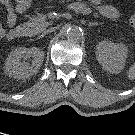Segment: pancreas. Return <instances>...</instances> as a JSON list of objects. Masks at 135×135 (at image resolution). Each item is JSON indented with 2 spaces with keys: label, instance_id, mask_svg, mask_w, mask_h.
<instances>
[{
  "label": "pancreas",
  "instance_id": "cf45deb5",
  "mask_svg": "<svg viewBox=\"0 0 135 135\" xmlns=\"http://www.w3.org/2000/svg\"><path fill=\"white\" fill-rule=\"evenodd\" d=\"M46 26V16L40 14L38 17L33 18L30 22L25 23L23 27L28 34L34 35L45 30Z\"/></svg>",
  "mask_w": 135,
  "mask_h": 135
}]
</instances>
